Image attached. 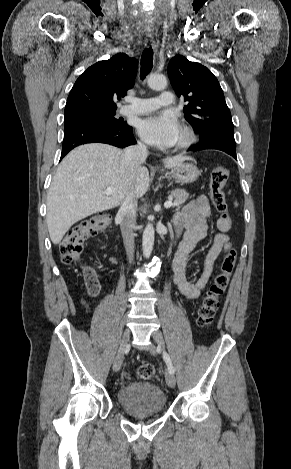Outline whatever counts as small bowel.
I'll return each instance as SVG.
<instances>
[{
    "mask_svg": "<svg viewBox=\"0 0 291 469\" xmlns=\"http://www.w3.org/2000/svg\"><path fill=\"white\" fill-rule=\"evenodd\" d=\"M211 210L208 199L200 196L188 203L184 209L174 217V226L178 233L185 229L184 237L180 243L172 261L174 282L180 293L187 299H196L207 286L213 272V264L216 259L231 247L230 238L227 232L230 229L229 219L219 218L217 227L219 233L214 237L203 265L200 277L196 281L189 280L187 270V260L196 244L204 239L208 232L209 218ZM85 278L86 287L90 293L95 290V295L100 290L99 282L92 272V278Z\"/></svg>",
    "mask_w": 291,
    "mask_h": 469,
    "instance_id": "obj_1",
    "label": "small bowel"
}]
</instances>
